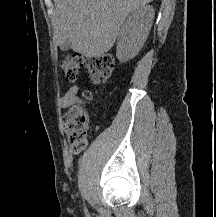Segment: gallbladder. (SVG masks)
Wrapping results in <instances>:
<instances>
[{
  "label": "gallbladder",
  "mask_w": 216,
  "mask_h": 217,
  "mask_svg": "<svg viewBox=\"0 0 216 217\" xmlns=\"http://www.w3.org/2000/svg\"><path fill=\"white\" fill-rule=\"evenodd\" d=\"M70 48V43L69 41H66L65 43L61 44L60 45V49L63 50V51H66Z\"/></svg>",
  "instance_id": "bac80fb5"
}]
</instances>
